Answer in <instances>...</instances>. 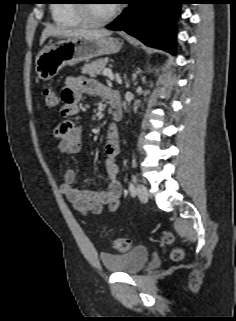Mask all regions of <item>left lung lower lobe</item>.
I'll return each instance as SVG.
<instances>
[{
    "mask_svg": "<svg viewBox=\"0 0 236 321\" xmlns=\"http://www.w3.org/2000/svg\"><path fill=\"white\" fill-rule=\"evenodd\" d=\"M129 7L111 24L110 30H124L148 46L176 53V20L179 0H128Z\"/></svg>",
    "mask_w": 236,
    "mask_h": 321,
    "instance_id": "left-lung-lower-lobe-1",
    "label": "left lung lower lobe"
}]
</instances>
